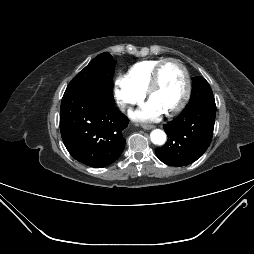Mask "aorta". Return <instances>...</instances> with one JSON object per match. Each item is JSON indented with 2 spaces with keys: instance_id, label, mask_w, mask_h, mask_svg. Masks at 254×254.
<instances>
[{
  "instance_id": "762f6f07",
  "label": "aorta",
  "mask_w": 254,
  "mask_h": 254,
  "mask_svg": "<svg viewBox=\"0 0 254 254\" xmlns=\"http://www.w3.org/2000/svg\"><path fill=\"white\" fill-rule=\"evenodd\" d=\"M150 138L152 143L156 145H163L166 141V134L160 129H155L151 132Z\"/></svg>"
}]
</instances>
